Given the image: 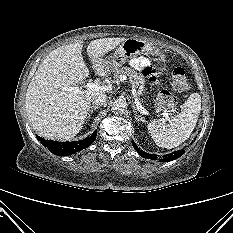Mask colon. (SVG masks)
<instances>
[{
  "instance_id": "1",
  "label": "colon",
  "mask_w": 233,
  "mask_h": 233,
  "mask_svg": "<svg viewBox=\"0 0 233 233\" xmlns=\"http://www.w3.org/2000/svg\"><path fill=\"white\" fill-rule=\"evenodd\" d=\"M188 79L183 68L177 67L172 72V87L181 92L188 88ZM157 107L160 110H169L176 105V98L169 91H161L156 99Z\"/></svg>"
}]
</instances>
